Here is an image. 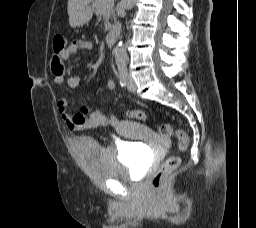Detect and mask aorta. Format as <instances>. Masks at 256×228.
Wrapping results in <instances>:
<instances>
[{
	"label": "aorta",
	"instance_id": "1",
	"mask_svg": "<svg viewBox=\"0 0 256 228\" xmlns=\"http://www.w3.org/2000/svg\"><path fill=\"white\" fill-rule=\"evenodd\" d=\"M136 1L137 0H121V8L126 11L130 10L135 5ZM114 55H115L116 64L118 66H124L127 60V56H126V47L122 41H120L116 45L114 49Z\"/></svg>",
	"mask_w": 256,
	"mask_h": 228
}]
</instances>
